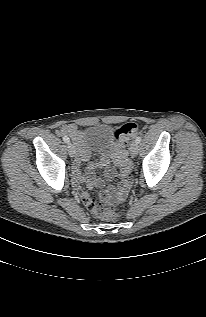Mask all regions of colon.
Instances as JSON below:
<instances>
[{
  "mask_svg": "<svg viewBox=\"0 0 206 317\" xmlns=\"http://www.w3.org/2000/svg\"><path fill=\"white\" fill-rule=\"evenodd\" d=\"M137 125L134 122H128L122 125L119 129L116 130L115 136L116 139L124 145L125 142L136 135ZM115 162L119 166L121 174L129 176L131 172V163L127 157V154L124 150H120L116 153ZM92 213L97 217H100L105 220H114L120 216V213L117 212L111 205L107 203H96L94 201L91 209Z\"/></svg>",
  "mask_w": 206,
  "mask_h": 317,
  "instance_id": "5ec220e1",
  "label": "colon"
}]
</instances>
